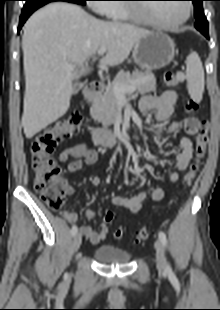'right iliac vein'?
Instances as JSON below:
<instances>
[{
    "label": "right iliac vein",
    "instance_id": "obj_1",
    "mask_svg": "<svg viewBox=\"0 0 220 310\" xmlns=\"http://www.w3.org/2000/svg\"><path fill=\"white\" fill-rule=\"evenodd\" d=\"M81 242H82L81 234L80 233H76L74 235V238H73V250H74V252H77L79 250Z\"/></svg>",
    "mask_w": 220,
    "mask_h": 310
}]
</instances>
